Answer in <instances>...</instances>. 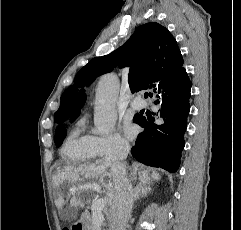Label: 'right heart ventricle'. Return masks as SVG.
Returning a JSON list of instances; mask_svg holds the SVG:
<instances>
[{
  "label": "right heart ventricle",
  "mask_w": 241,
  "mask_h": 230,
  "mask_svg": "<svg viewBox=\"0 0 241 230\" xmlns=\"http://www.w3.org/2000/svg\"><path fill=\"white\" fill-rule=\"evenodd\" d=\"M62 155L70 163L87 162L98 157L94 136L85 132L83 119L68 133L62 146Z\"/></svg>",
  "instance_id": "1"
}]
</instances>
